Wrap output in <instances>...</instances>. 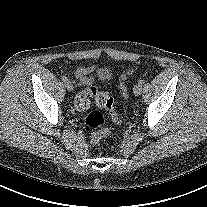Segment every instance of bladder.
Instances as JSON below:
<instances>
[{
  "label": "bladder",
  "mask_w": 207,
  "mask_h": 207,
  "mask_svg": "<svg viewBox=\"0 0 207 207\" xmlns=\"http://www.w3.org/2000/svg\"><path fill=\"white\" fill-rule=\"evenodd\" d=\"M99 77L101 79H108L110 77V71L106 68H103L99 71Z\"/></svg>",
  "instance_id": "bladder-1"
}]
</instances>
